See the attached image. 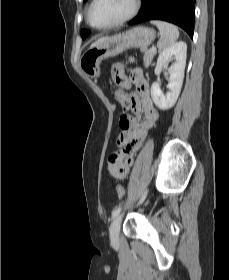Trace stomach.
<instances>
[{"label": "stomach", "mask_w": 229, "mask_h": 280, "mask_svg": "<svg viewBox=\"0 0 229 280\" xmlns=\"http://www.w3.org/2000/svg\"><path fill=\"white\" fill-rule=\"evenodd\" d=\"M155 37V30L144 26L134 27L122 34L109 37L82 55L79 62L80 68L88 77L97 78L100 76L102 60L114 57L130 48L147 50Z\"/></svg>", "instance_id": "1"}]
</instances>
